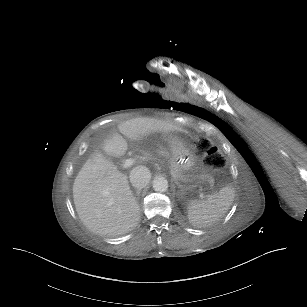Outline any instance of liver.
<instances>
[{"label":"liver","mask_w":307,"mask_h":307,"mask_svg":"<svg viewBox=\"0 0 307 307\" xmlns=\"http://www.w3.org/2000/svg\"><path fill=\"white\" fill-rule=\"evenodd\" d=\"M121 134L113 133L106 151L113 157L128 151L126 139L140 142L155 133L188 135L180 125L155 118H134L118 125ZM124 137H123V136ZM76 211L83 224L101 236H116L133 230L140 220V207L130 189L128 176L100 154L86 161L73 185Z\"/></svg>","instance_id":"1"}]
</instances>
